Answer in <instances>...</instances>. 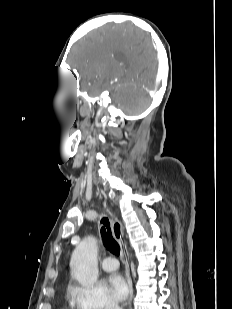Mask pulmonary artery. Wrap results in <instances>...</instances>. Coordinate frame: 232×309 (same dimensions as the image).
Returning <instances> with one entry per match:
<instances>
[{"mask_svg": "<svg viewBox=\"0 0 232 309\" xmlns=\"http://www.w3.org/2000/svg\"><path fill=\"white\" fill-rule=\"evenodd\" d=\"M101 268L105 271H114L118 268V262L113 257H106L101 262Z\"/></svg>", "mask_w": 232, "mask_h": 309, "instance_id": "e3ab8cb5", "label": "pulmonary artery"}]
</instances>
